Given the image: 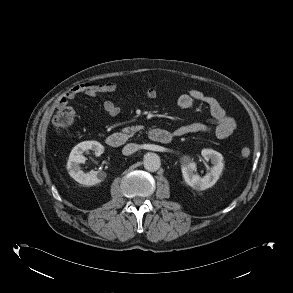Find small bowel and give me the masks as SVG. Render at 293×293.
I'll list each match as a JSON object with an SVG mask.
<instances>
[{"instance_id": "1", "label": "small bowel", "mask_w": 293, "mask_h": 293, "mask_svg": "<svg viewBox=\"0 0 293 293\" xmlns=\"http://www.w3.org/2000/svg\"><path fill=\"white\" fill-rule=\"evenodd\" d=\"M117 90L115 83H83L76 85L69 89L59 100L58 105H67L70 100L75 99L80 95L88 97H96L100 94L113 93ZM158 95V89L155 84L149 86L145 93L147 99H155ZM197 103H203L208 108L212 118L214 119L213 125L204 123H192L177 128L173 134L174 136H184L194 133H209L212 132L219 139L228 138L236 128L235 120L229 116L219 101L213 96L207 95L199 89H192L186 94H182L177 99V105L181 109L193 108ZM103 109L109 116H116L120 112L119 106L111 101L106 100L103 103Z\"/></svg>"}]
</instances>
